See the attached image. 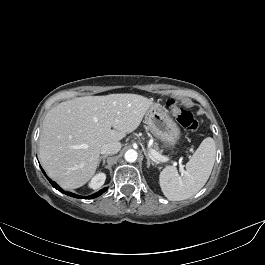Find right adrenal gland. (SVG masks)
I'll return each instance as SVG.
<instances>
[{
  "label": "right adrenal gland",
  "instance_id": "right-adrenal-gland-1",
  "mask_svg": "<svg viewBox=\"0 0 265 265\" xmlns=\"http://www.w3.org/2000/svg\"><path fill=\"white\" fill-rule=\"evenodd\" d=\"M106 158H107V155L100 156V158H99V164L102 161V166H104L105 165V159Z\"/></svg>",
  "mask_w": 265,
  "mask_h": 265
}]
</instances>
